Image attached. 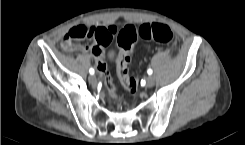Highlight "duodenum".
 Wrapping results in <instances>:
<instances>
[{"label": "duodenum", "mask_w": 245, "mask_h": 145, "mask_svg": "<svg viewBox=\"0 0 245 145\" xmlns=\"http://www.w3.org/2000/svg\"><path fill=\"white\" fill-rule=\"evenodd\" d=\"M72 49H73L74 52H77V53H83V52L86 51L85 47L82 46V45H73Z\"/></svg>", "instance_id": "410a0bca"}]
</instances>
